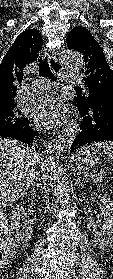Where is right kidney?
<instances>
[{
  "label": "right kidney",
  "instance_id": "1",
  "mask_svg": "<svg viewBox=\"0 0 113 279\" xmlns=\"http://www.w3.org/2000/svg\"><path fill=\"white\" fill-rule=\"evenodd\" d=\"M24 207L21 205H16V207L11 212V229L16 233L15 238L18 246L26 248L31 240L32 227L29 223L22 226L20 221L23 220L25 216Z\"/></svg>",
  "mask_w": 113,
  "mask_h": 279
}]
</instances>
